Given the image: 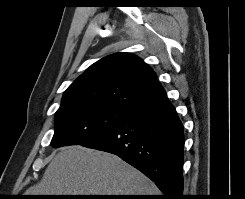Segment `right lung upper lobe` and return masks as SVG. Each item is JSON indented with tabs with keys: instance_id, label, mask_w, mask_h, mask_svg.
<instances>
[{
	"instance_id": "1",
	"label": "right lung upper lobe",
	"mask_w": 245,
	"mask_h": 199,
	"mask_svg": "<svg viewBox=\"0 0 245 199\" xmlns=\"http://www.w3.org/2000/svg\"><path fill=\"white\" fill-rule=\"evenodd\" d=\"M166 98L146 63L130 53H115L80 75L64 92L59 109L92 104L129 114Z\"/></svg>"
}]
</instances>
